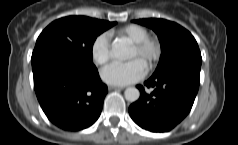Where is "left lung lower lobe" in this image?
<instances>
[{"instance_id": "1", "label": "left lung lower lobe", "mask_w": 238, "mask_h": 145, "mask_svg": "<svg viewBox=\"0 0 238 145\" xmlns=\"http://www.w3.org/2000/svg\"><path fill=\"white\" fill-rule=\"evenodd\" d=\"M201 65L190 64L153 74L144 82L151 93L137 85L140 98L130 105L129 114L143 129L167 132L178 125L190 112L198 92Z\"/></svg>"}]
</instances>
